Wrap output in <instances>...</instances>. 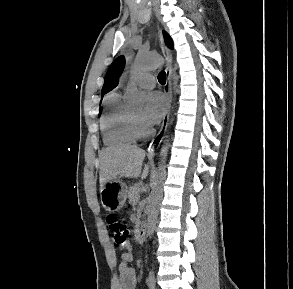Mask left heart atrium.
Instances as JSON below:
<instances>
[{
    "instance_id": "obj_1",
    "label": "left heart atrium",
    "mask_w": 293,
    "mask_h": 289,
    "mask_svg": "<svg viewBox=\"0 0 293 289\" xmlns=\"http://www.w3.org/2000/svg\"><path fill=\"white\" fill-rule=\"evenodd\" d=\"M167 109V101L160 92H150L146 97V108L143 120L147 125L158 123Z\"/></svg>"
}]
</instances>
